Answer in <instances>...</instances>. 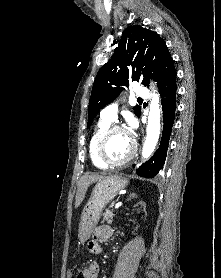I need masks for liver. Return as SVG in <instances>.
Segmentation results:
<instances>
[{
  "instance_id": "liver-1",
  "label": "liver",
  "mask_w": 221,
  "mask_h": 278,
  "mask_svg": "<svg viewBox=\"0 0 221 278\" xmlns=\"http://www.w3.org/2000/svg\"><path fill=\"white\" fill-rule=\"evenodd\" d=\"M103 178L104 176L98 174H85L79 179L75 198V208H78L84 200L88 187L92 183H95Z\"/></svg>"
}]
</instances>
